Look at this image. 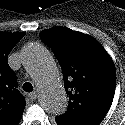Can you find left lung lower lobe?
<instances>
[{"label":"left lung lower lobe","mask_w":125,"mask_h":125,"mask_svg":"<svg viewBox=\"0 0 125 125\" xmlns=\"http://www.w3.org/2000/svg\"><path fill=\"white\" fill-rule=\"evenodd\" d=\"M55 121H56L57 125H76L73 123L63 121V120L59 119L58 117H55Z\"/></svg>","instance_id":"0a47b994"}]
</instances>
